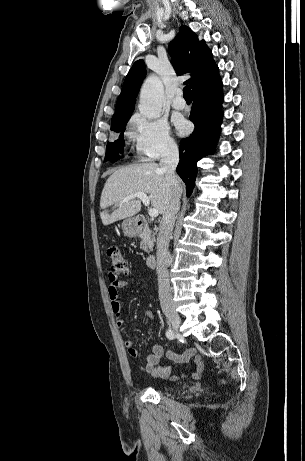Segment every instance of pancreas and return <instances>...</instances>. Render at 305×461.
I'll use <instances>...</instances> for the list:
<instances>
[{
    "mask_svg": "<svg viewBox=\"0 0 305 461\" xmlns=\"http://www.w3.org/2000/svg\"><path fill=\"white\" fill-rule=\"evenodd\" d=\"M155 242V233L144 232L141 236L140 248L145 252L152 251Z\"/></svg>",
    "mask_w": 305,
    "mask_h": 461,
    "instance_id": "obj_1",
    "label": "pancreas"
}]
</instances>
